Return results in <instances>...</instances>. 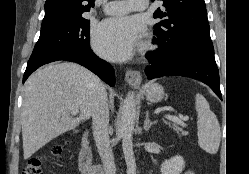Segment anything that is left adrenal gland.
Here are the masks:
<instances>
[{
    "mask_svg": "<svg viewBox=\"0 0 249 174\" xmlns=\"http://www.w3.org/2000/svg\"><path fill=\"white\" fill-rule=\"evenodd\" d=\"M157 122L156 121H150L149 119V112L146 111V116H145V120H144V125H143V129L145 131H149V129L154 125L156 124Z\"/></svg>",
    "mask_w": 249,
    "mask_h": 174,
    "instance_id": "1",
    "label": "left adrenal gland"
}]
</instances>
